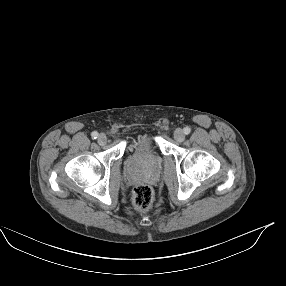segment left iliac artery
I'll list each match as a JSON object with an SVG mask.
<instances>
[{
  "label": "left iliac artery",
  "instance_id": "left-iliac-artery-1",
  "mask_svg": "<svg viewBox=\"0 0 286 286\" xmlns=\"http://www.w3.org/2000/svg\"><path fill=\"white\" fill-rule=\"evenodd\" d=\"M183 131H184L185 134H189L191 132V129L189 127H185L183 129Z\"/></svg>",
  "mask_w": 286,
  "mask_h": 286
}]
</instances>
